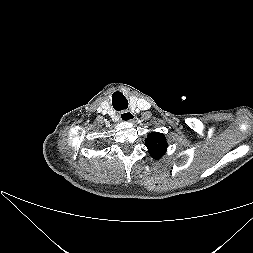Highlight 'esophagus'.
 <instances>
[{
    "instance_id": "esophagus-1",
    "label": "esophagus",
    "mask_w": 253,
    "mask_h": 253,
    "mask_svg": "<svg viewBox=\"0 0 253 253\" xmlns=\"http://www.w3.org/2000/svg\"><path fill=\"white\" fill-rule=\"evenodd\" d=\"M135 115L131 111H124L120 113V119L124 122H134Z\"/></svg>"
}]
</instances>
